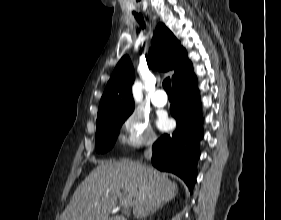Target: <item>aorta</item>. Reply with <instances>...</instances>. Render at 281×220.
Wrapping results in <instances>:
<instances>
[{
	"mask_svg": "<svg viewBox=\"0 0 281 220\" xmlns=\"http://www.w3.org/2000/svg\"><path fill=\"white\" fill-rule=\"evenodd\" d=\"M133 97L134 100L139 103L143 99V94H142V84L139 81H136L133 85Z\"/></svg>",
	"mask_w": 281,
	"mask_h": 220,
	"instance_id": "1",
	"label": "aorta"
}]
</instances>
